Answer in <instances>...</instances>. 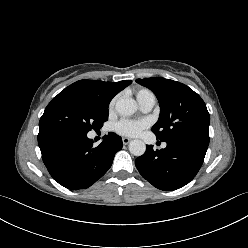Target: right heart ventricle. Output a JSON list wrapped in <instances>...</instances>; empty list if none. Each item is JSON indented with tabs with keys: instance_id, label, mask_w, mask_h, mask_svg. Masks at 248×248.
Listing matches in <instances>:
<instances>
[{
	"instance_id": "1",
	"label": "right heart ventricle",
	"mask_w": 248,
	"mask_h": 248,
	"mask_svg": "<svg viewBox=\"0 0 248 248\" xmlns=\"http://www.w3.org/2000/svg\"><path fill=\"white\" fill-rule=\"evenodd\" d=\"M136 97H137V100L141 102L148 97H155V96L150 90L146 88H141L136 91Z\"/></svg>"
}]
</instances>
